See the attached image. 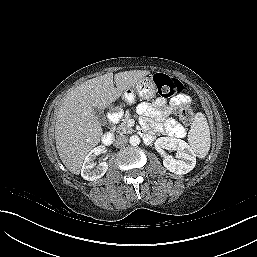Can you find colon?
I'll use <instances>...</instances> for the list:
<instances>
[{"instance_id": "obj_1", "label": "colon", "mask_w": 257, "mask_h": 257, "mask_svg": "<svg viewBox=\"0 0 257 257\" xmlns=\"http://www.w3.org/2000/svg\"><path fill=\"white\" fill-rule=\"evenodd\" d=\"M154 83L158 94L163 98H170L178 95L183 90V84L180 80L170 77L164 73L155 74ZM177 114L184 123H189L193 117V111L188 105L180 108Z\"/></svg>"}]
</instances>
